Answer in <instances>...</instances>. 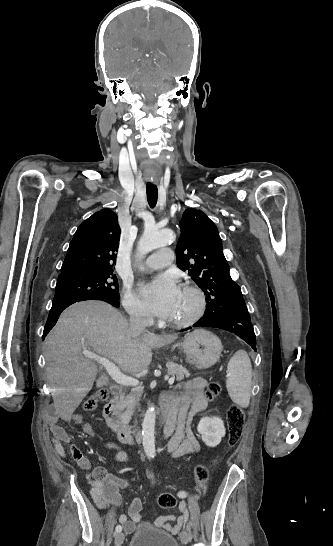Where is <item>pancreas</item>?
Here are the masks:
<instances>
[{
  "mask_svg": "<svg viewBox=\"0 0 333 546\" xmlns=\"http://www.w3.org/2000/svg\"><path fill=\"white\" fill-rule=\"evenodd\" d=\"M166 366L168 375L176 377L177 381H181L184 379V377L190 376L189 371L181 365L175 364L173 362H168ZM142 393V388L136 387L131 390L130 394L126 396H121V408L124 410V415L127 418H129L133 414Z\"/></svg>",
  "mask_w": 333,
  "mask_h": 546,
  "instance_id": "1",
  "label": "pancreas"
}]
</instances>
